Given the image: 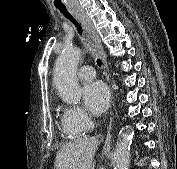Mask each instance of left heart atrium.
<instances>
[{
  "instance_id": "left-heart-atrium-1",
  "label": "left heart atrium",
  "mask_w": 177,
  "mask_h": 169,
  "mask_svg": "<svg viewBox=\"0 0 177 169\" xmlns=\"http://www.w3.org/2000/svg\"><path fill=\"white\" fill-rule=\"evenodd\" d=\"M83 100L85 107L94 115L106 111L110 103V92L102 81H92L83 87Z\"/></svg>"
}]
</instances>
